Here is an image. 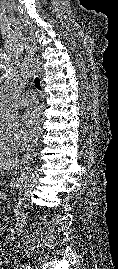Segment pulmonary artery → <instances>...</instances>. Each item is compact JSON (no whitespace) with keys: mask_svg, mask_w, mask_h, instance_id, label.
Listing matches in <instances>:
<instances>
[{"mask_svg":"<svg viewBox=\"0 0 118 269\" xmlns=\"http://www.w3.org/2000/svg\"><path fill=\"white\" fill-rule=\"evenodd\" d=\"M36 101L37 96L35 92L31 90L24 92L19 98V102L21 105H32Z\"/></svg>","mask_w":118,"mask_h":269,"instance_id":"e3ab8cb5","label":"pulmonary artery"}]
</instances>
